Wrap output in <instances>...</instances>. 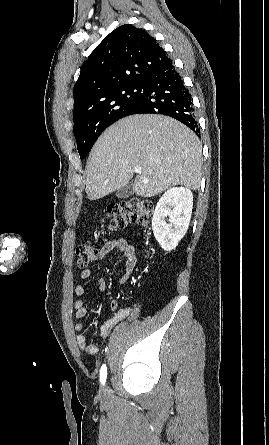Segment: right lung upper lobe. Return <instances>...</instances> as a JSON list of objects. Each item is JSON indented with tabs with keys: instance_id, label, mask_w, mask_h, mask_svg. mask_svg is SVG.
Here are the masks:
<instances>
[{
	"instance_id": "cb5924a9",
	"label": "right lung upper lobe",
	"mask_w": 269,
	"mask_h": 445,
	"mask_svg": "<svg viewBox=\"0 0 269 445\" xmlns=\"http://www.w3.org/2000/svg\"><path fill=\"white\" fill-rule=\"evenodd\" d=\"M169 60L145 30L130 24L116 28L81 67L74 88V110L89 99L122 86L144 84L153 71Z\"/></svg>"
}]
</instances>
